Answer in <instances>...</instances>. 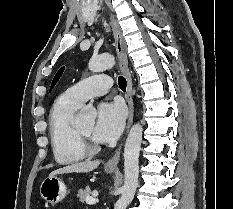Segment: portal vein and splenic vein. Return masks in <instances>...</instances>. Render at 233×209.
Returning a JSON list of instances; mask_svg holds the SVG:
<instances>
[{
	"mask_svg": "<svg viewBox=\"0 0 233 209\" xmlns=\"http://www.w3.org/2000/svg\"><path fill=\"white\" fill-rule=\"evenodd\" d=\"M98 202H99V200L97 198H93V197L86 198V203L88 205H94V204H97Z\"/></svg>",
	"mask_w": 233,
	"mask_h": 209,
	"instance_id": "portal-vein-and-splenic-vein-1",
	"label": "portal vein and splenic vein"
}]
</instances>
